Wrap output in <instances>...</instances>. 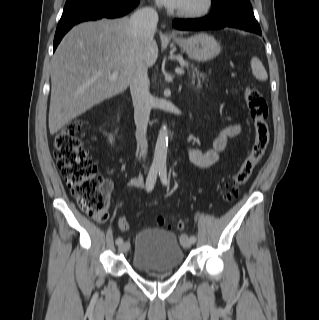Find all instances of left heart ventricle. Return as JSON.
Wrapping results in <instances>:
<instances>
[{"mask_svg":"<svg viewBox=\"0 0 319 320\" xmlns=\"http://www.w3.org/2000/svg\"><path fill=\"white\" fill-rule=\"evenodd\" d=\"M199 0H188V2L186 3V5L182 8V10L185 9H191L193 7H195L197 5Z\"/></svg>","mask_w":319,"mask_h":320,"instance_id":"b2bd125f","label":"left heart ventricle"}]
</instances>
